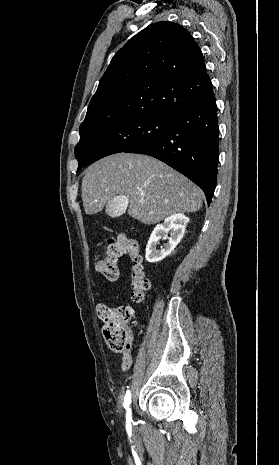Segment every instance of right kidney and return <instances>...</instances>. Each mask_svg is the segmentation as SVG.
<instances>
[{
    "mask_svg": "<svg viewBox=\"0 0 279 465\" xmlns=\"http://www.w3.org/2000/svg\"><path fill=\"white\" fill-rule=\"evenodd\" d=\"M189 218L182 213L167 217L163 223L156 225L146 246V260L155 263L163 260L175 249L184 236ZM170 232V237L168 233ZM160 239H168L161 250L156 249Z\"/></svg>",
    "mask_w": 279,
    "mask_h": 465,
    "instance_id": "ca27d5eb",
    "label": "right kidney"
}]
</instances>
